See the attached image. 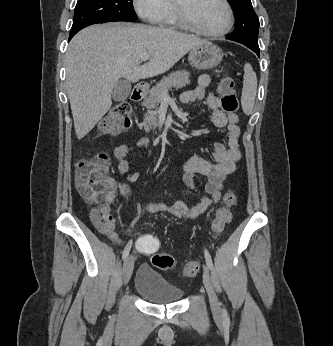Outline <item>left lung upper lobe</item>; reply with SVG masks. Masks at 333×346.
<instances>
[{
    "instance_id": "5c2ea615",
    "label": "left lung upper lobe",
    "mask_w": 333,
    "mask_h": 346,
    "mask_svg": "<svg viewBox=\"0 0 333 346\" xmlns=\"http://www.w3.org/2000/svg\"><path fill=\"white\" fill-rule=\"evenodd\" d=\"M236 18L234 31L227 39L245 46H258L259 19L250 0H228Z\"/></svg>"
}]
</instances>
